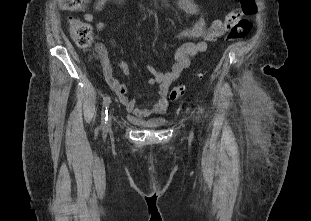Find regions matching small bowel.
Returning <instances> with one entry per match:
<instances>
[{"mask_svg": "<svg viewBox=\"0 0 311 221\" xmlns=\"http://www.w3.org/2000/svg\"><path fill=\"white\" fill-rule=\"evenodd\" d=\"M111 1L112 0H97L93 9L84 15L85 21L89 23L94 22L97 14L101 12L108 2ZM177 5L180 10L188 15L199 16L194 26L184 30L181 34L183 38L196 39L198 41L182 44L176 50L174 62L168 71L161 72L155 66L151 64L147 65V71L151 75V78L148 79L147 83L149 85H158L156 102L151 106L139 108L137 107L135 100L127 96V89L124 84L116 80L114 85L111 86L119 101L126 107L128 112L137 118H146L151 115L163 114L168 106V93L171 84L186 68L189 67L193 57L207 50V43L202 40L206 31V18L200 7L194 0H178ZM96 28L98 31H102L105 28V24L103 22H98ZM110 44L114 48L117 46L114 40H110ZM96 51L99 55L105 76H112V68L106 46L99 43L96 46ZM119 67L124 75H129L130 69L125 61H120Z\"/></svg>", "mask_w": 311, "mask_h": 221, "instance_id": "c3829d8e", "label": "small bowel"}]
</instances>
